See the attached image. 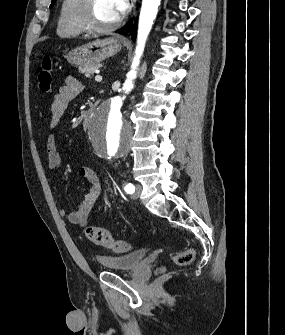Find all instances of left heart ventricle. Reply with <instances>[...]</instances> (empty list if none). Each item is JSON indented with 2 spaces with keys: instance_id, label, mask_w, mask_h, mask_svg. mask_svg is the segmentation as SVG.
<instances>
[{
  "instance_id": "obj_1",
  "label": "left heart ventricle",
  "mask_w": 285,
  "mask_h": 335,
  "mask_svg": "<svg viewBox=\"0 0 285 335\" xmlns=\"http://www.w3.org/2000/svg\"><path fill=\"white\" fill-rule=\"evenodd\" d=\"M117 1H95L93 18L97 26H110L118 20Z\"/></svg>"
}]
</instances>
